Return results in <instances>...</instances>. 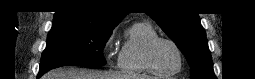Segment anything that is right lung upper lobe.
<instances>
[{"label":"right lung upper lobe","instance_id":"right-lung-upper-lobe-1","mask_svg":"<svg viewBox=\"0 0 255 79\" xmlns=\"http://www.w3.org/2000/svg\"><path fill=\"white\" fill-rule=\"evenodd\" d=\"M63 10L56 12L53 25L112 30L127 13L113 9L102 0H71Z\"/></svg>","mask_w":255,"mask_h":79}]
</instances>
